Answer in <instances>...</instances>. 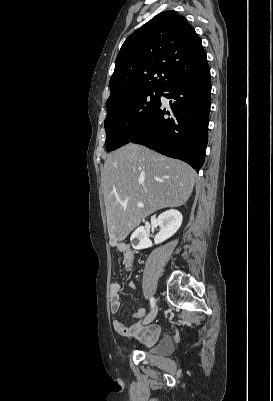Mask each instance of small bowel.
I'll return each mask as SVG.
<instances>
[{"label":"small bowel","mask_w":273,"mask_h":401,"mask_svg":"<svg viewBox=\"0 0 273 401\" xmlns=\"http://www.w3.org/2000/svg\"><path fill=\"white\" fill-rule=\"evenodd\" d=\"M111 246L121 253L125 270L131 271L134 267L135 257L130 246L121 241H114L111 243ZM128 286L131 289H134L135 283L133 281H129ZM120 290L121 286L118 282L110 283L109 299L110 312L112 314H117L121 310ZM146 302H151V297H146ZM145 315L146 309L144 307H140L133 314L134 318L138 320L135 324L126 325L121 320L114 319L112 321L113 329L121 336L134 338L147 345H152L158 340L160 336V329L156 325L145 322Z\"/></svg>","instance_id":"small-bowel-1"}]
</instances>
